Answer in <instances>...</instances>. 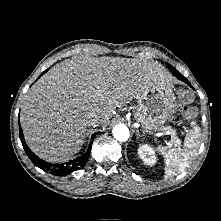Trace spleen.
Segmentation results:
<instances>
[{
    "mask_svg": "<svg viewBox=\"0 0 221 221\" xmlns=\"http://www.w3.org/2000/svg\"><path fill=\"white\" fill-rule=\"evenodd\" d=\"M193 124L195 122H192ZM200 128L194 126L193 130L186 136L183 148H170L159 146L157 150L165 160V177L176 176L189 166L200 146Z\"/></svg>",
    "mask_w": 221,
    "mask_h": 221,
    "instance_id": "3e777b00",
    "label": "spleen"
}]
</instances>
